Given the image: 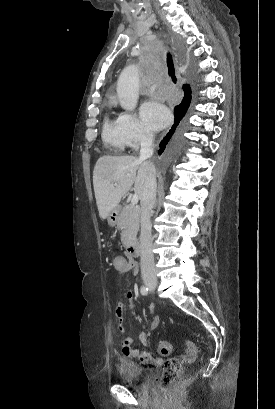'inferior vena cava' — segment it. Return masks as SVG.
<instances>
[{
  "label": "inferior vena cava",
  "instance_id": "1",
  "mask_svg": "<svg viewBox=\"0 0 275 409\" xmlns=\"http://www.w3.org/2000/svg\"><path fill=\"white\" fill-rule=\"evenodd\" d=\"M153 150V134L152 132L143 130V132H141L140 158H151ZM156 186L155 166L154 164H150L141 198L140 249L142 279L143 281H154V283H156L157 277L152 251V225L150 217H152V209L156 200Z\"/></svg>",
  "mask_w": 275,
  "mask_h": 409
}]
</instances>
